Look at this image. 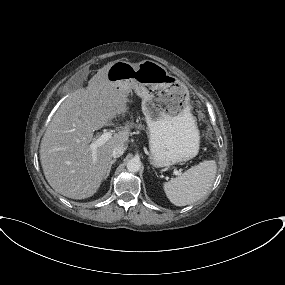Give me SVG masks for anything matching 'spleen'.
Masks as SVG:
<instances>
[{
  "label": "spleen",
  "mask_w": 285,
  "mask_h": 285,
  "mask_svg": "<svg viewBox=\"0 0 285 285\" xmlns=\"http://www.w3.org/2000/svg\"><path fill=\"white\" fill-rule=\"evenodd\" d=\"M217 172L214 160H205L163 184L164 192L176 206L193 204L203 198L213 185Z\"/></svg>",
  "instance_id": "1"
}]
</instances>
